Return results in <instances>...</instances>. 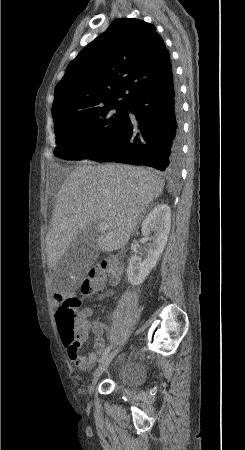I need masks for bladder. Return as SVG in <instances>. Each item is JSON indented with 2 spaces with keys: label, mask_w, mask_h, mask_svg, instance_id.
I'll return each instance as SVG.
<instances>
[{
  "label": "bladder",
  "mask_w": 245,
  "mask_h": 450,
  "mask_svg": "<svg viewBox=\"0 0 245 450\" xmlns=\"http://www.w3.org/2000/svg\"><path fill=\"white\" fill-rule=\"evenodd\" d=\"M145 367L138 361H129L119 366L115 382L120 387L134 388L141 384Z\"/></svg>",
  "instance_id": "31cf9c89"
}]
</instances>
